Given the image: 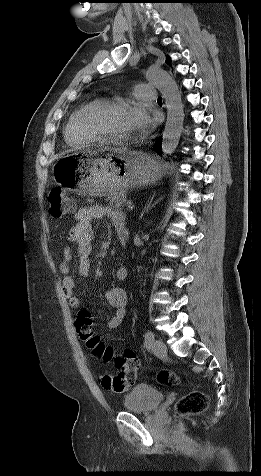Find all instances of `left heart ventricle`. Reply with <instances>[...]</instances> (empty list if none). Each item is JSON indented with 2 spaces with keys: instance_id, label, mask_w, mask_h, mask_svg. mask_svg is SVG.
I'll return each instance as SVG.
<instances>
[{
  "instance_id": "b2bd125f",
  "label": "left heart ventricle",
  "mask_w": 261,
  "mask_h": 476,
  "mask_svg": "<svg viewBox=\"0 0 261 476\" xmlns=\"http://www.w3.org/2000/svg\"><path fill=\"white\" fill-rule=\"evenodd\" d=\"M131 109L132 107H128L99 113L92 117L91 122L93 125L116 135L129 136L133 132Z\"/></svg>"
}]
</instances>
